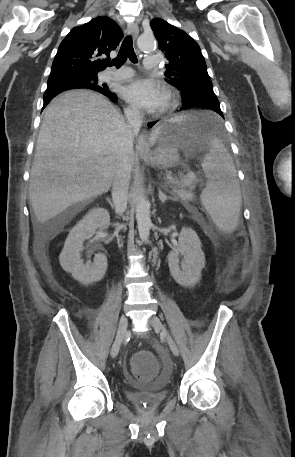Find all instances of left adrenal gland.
I'll use <instances>...</instances> for the list:
<instances>
[{"label": "left adrenal gland", "instance_id": "a2214340", "mask_svg": "<svg viewBox=\"0 0 295 457\" xmlns=\"http://www.w3.org/2000/svg\"><path fill=\"white\" fill-rule=\"evenodd\" d=\"M159 199L162 203L166 202L169 199H172L169 196H166L160 189H159Z\"/></svg>", "mask_w": 295, "mask_h": 457}]
</instances>
